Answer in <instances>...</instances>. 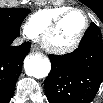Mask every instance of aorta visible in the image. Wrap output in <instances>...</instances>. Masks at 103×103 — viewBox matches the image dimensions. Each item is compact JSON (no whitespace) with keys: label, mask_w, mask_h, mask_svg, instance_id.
Returning <instances> with one entry per match:
<instances>
[{"label":"aorta","mask_w":103,"mask_h":103,"mask_svg":"<svg viewBox=\"0 0 103 103\" xmlns=\"http://www.w3.org/2000/svg\"><path fill=\"white\" fill-rule=\"evenodd\" d=\"M24 69L28 76L40 79L49 74L51 63L48 58H41L38 55H30L24 60Z\"/></svg>","instance_id":"762f6f07"}]
</instances>
